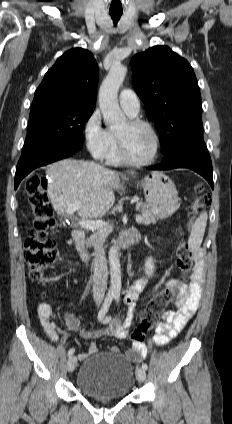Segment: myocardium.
Masks as SVG:
<instances>
[{"instance_id": "obj_1", "label": "myocardium", "mask_w": 232, "mask_h": 424, "mask_svg": "<svg viewBox=\"0 0 232 424\" xmlns=\"http://www.w3.org/2000/svg\"><path fill=\"white\" fill-rule=\"evenodd\" d=\"M128 122L133 127H144L152 134V136L154 138V150H153L151 156L148 157L147 159H144V160L132 159L131 157L128 156V154L125 150V146H124L122 138L118 134H116L115 138H116V142H117L118 154H119V157H120L122 163L127 164V165H131V166H147V165H150L151 163H153L156 160V158L159 154V151H160L161 140H160V136H159L157 130L154 128V126L152 124H150L147 121L141 120V119L132 118V119H129Z\"/></svg>"}]
</instances>
